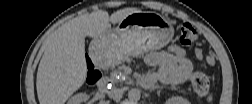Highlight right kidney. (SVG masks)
Segmentation results:
<instances>
[{"instance_id": "ca27d5eb", "label": "right kidney", "mask_w": 252, "mask_h": 104, "mask_svg": "<svg viewBox=\"0 0 252 104\" xmlns=\"http://www.w3.org/2000/svg\"><path fill=\"white\" fill-rule=\"evenodd\" d=\"M88 95L86 93H78L71 97L68 101V104H82L86 103L88 100Z\"/></svg>"}]
</instances>
